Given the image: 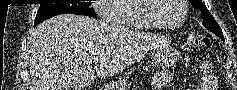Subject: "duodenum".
<instances>
[{
  "instance_id": "410a0bca",
  "label": "duodenum",
  "mask_w": 237,
  "mask_h": 90,
  "mask_svg": "<svg viewBox=\"0 0 237 90\" xmlns=\"http://www.w3.org/2000/svg\"><path fill=\"white\" fill-rule=\"evenodd\" d=\"M102 90H109V87H102Z\"/></svg>"
}]
</instances>
